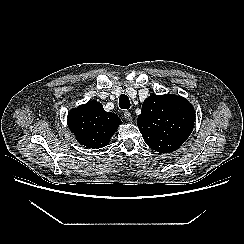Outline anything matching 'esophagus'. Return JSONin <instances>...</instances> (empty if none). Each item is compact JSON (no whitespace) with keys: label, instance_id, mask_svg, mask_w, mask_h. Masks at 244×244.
I'll list each match as a JSON object with an SVG mask.
<instances>
[{"label":"esophagus","instance_id":"34e87169","mask_svg":"<svg viewBox=\"0 0 244 244\" xmlns=\"http://www.w3.org/2000/svg\"><path fill=\"white\" fill-rule=\"evenodd\" d=\"M124 118L127 120V121H132V115L129 111H125L124 112Z\"/></svg>","mask_w":244,"mask_h":244}]
</instances>
